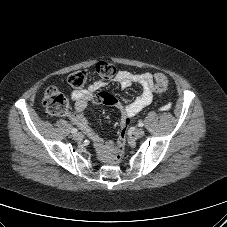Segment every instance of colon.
<instances>
[{
	"label": "colon",
	"instance_id": "1",
	"mask_svg": "<svg viewBox=\"0 0 227 227\" xmlns=\"http://www.w3.org/2000/svg\"><path fill=\"white\" fill-rule=\"evenodd\" d=\"M116 74H117V70L113 64L105 61H101L97 63L96 75L98 80H101V81L110 80L114 78ZM86 80H87V75L84 71L74 72L68 78L69 84L76 89L83 87L86 83ZM167 87H168L167 77L162 73L155 74L154 91L157 94H161L166 91ZM43 105L50 114L56 115V116L66 115L70 107L68 98L55 87H50L46 90L43 98ZM129 123L130 121L126 123V126ZM125 128L122 129V131L119 134L118 146L113 155V159L116 164L120 163L123 159Z\"/></svg>",
	"mask_w": 227,
	"mask_h": 227
}]
</instances>
